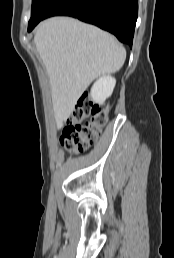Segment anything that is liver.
<instances>
[{
	"label": "liver",
	"mask_w": 174,
	"mask_h": 258,
	"mask_svg": "<svg viewBox=\"0 0 174 258\" xmlns=\"http://www.w3.org/2000/svg\"><path fill=\"white\" fill-rule=\"evenodd\" d=\"M34 42L50 79L58 125L94 79L119 71L126 58L125 48L114 36L69 17L40 23Z\"/></svg>",
	"instance_id": "6515ba94"
}]
</instances>
